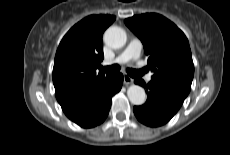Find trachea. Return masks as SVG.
Returning <instances> with one entry per match:
<instances>
[{
	"instance_id": "obj_1",
	"label": "trachea",
	"mask_w": 230,
	"mask_h": 155,
	"mask_svg": "<svg viewBox=\"0 0 230 155\" xmlns=\"http://www.w3.org/2000/svg\"><path fill=\"white\" fill-rule=\"evenodd\" d=\"M101 71L117 73L120 71V66L117 64H114L111 66L101 67ZM127 73L129 76H131L133 78H138V77H141L143 75L144 71L143 70H135V69H127Z\"/></svg>"
}]
</instances>
